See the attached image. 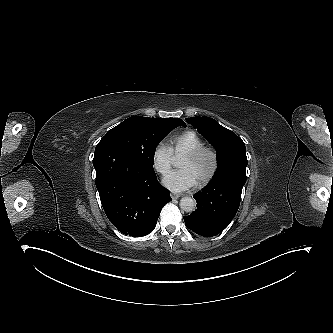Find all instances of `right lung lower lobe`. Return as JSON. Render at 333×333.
<instances>
[{"label":"right lung lower lobe","mask_w":333,"mask_h":333,"mask_svg":"<svg viewBox=\"0 0 333 333\" xmlns=\"http://www.w3.org/2000/svg\"><path fill=\"white\" fill-rule=\"evenodd\" d=\"M93 165L96 187L109 221L123 234L140 237L156 226L170 193L161 186L154 169L141 165L118 143L96 146Z\"/></svg>","instance_id":"1"}]
</instances>
